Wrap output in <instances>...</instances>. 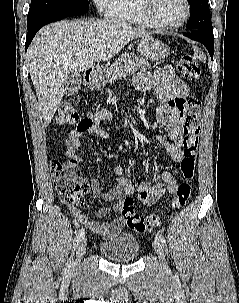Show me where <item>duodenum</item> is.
I'll list each match as a JSON object with an SVG mask.
<instances>
[{
	"label": "duodenum",
	"instance_id": "duodenum-1",
	"mask_svg": "<svg viewBox=\"0 0 239 303\" xmlns=\"http://www.w3.org/2000/svg\"><path fill=\"white\" fill-rule=\"evenodd\" d=\"M97 78H98V75H97L96 71H94V70L86 71V73H85L86 84L93 85L96 82Z\"/></svg>",
	"mask_w": 239,
	"mask_h": 303
}]
</instances>
